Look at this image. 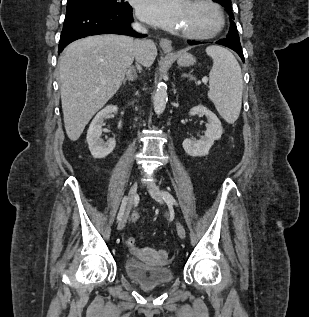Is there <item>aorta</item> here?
<instances>
[{
	"label": "aorta",
	"instance_id": "obj_1",
	"mask_svg": "<svg viewBox=\"0 0 309 317\" xmlns=\"http://www.w3.org/2000/svg\"><path fill=\"white\" fill-rule=\"evenodd\" d=\"M167 100V86L165 83L160 82L153 97L154 111L157 115H160L164 112Z\"/></svg>",
	"mask_w": 309,
	"mask_h": 317
}]
</instances>
